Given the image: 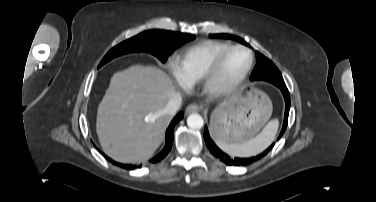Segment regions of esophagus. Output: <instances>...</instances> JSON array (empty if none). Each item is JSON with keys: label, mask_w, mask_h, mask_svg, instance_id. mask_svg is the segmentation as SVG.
I'll return each instance as SVG.
<instances>
[{"label": "esophagus", "mask_w": 376, "mask_h": 202, "mask_svg": "<svg viewBox=\"0 0 376 202\" xmlns=\"http://www.w3.org/2000/svg\"><path fill=\"white\" fill-rule=\"evenodd\" d=\"M200 107L197 105V104H190V105H188L187 106V108H186V113L187 114H190V113H193V112H198V111H200Z\"/></svg>", "instance_id": "34e87169"}]
</instances>
